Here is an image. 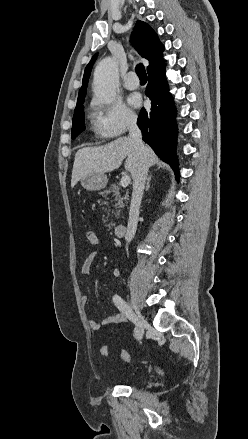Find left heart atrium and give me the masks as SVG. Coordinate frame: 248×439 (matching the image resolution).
Segmentation results:
<instances>
[{
	"label": "left heart atrium",
	"instance_id": "obj_1",
	"mask_svg": "<svg viewBox=\"0 0 248 439\" xmlns=\"http://www.w3.org/2000/svg\"><path fill=\"white\" fill-rule=\"evenodd\" d=\"M131 105L138 107L141 104V98L138 95H133L129 98Z\"/></svg>",
	"mask_w": 248,
	"mask_h": 439
}]
</instances>
